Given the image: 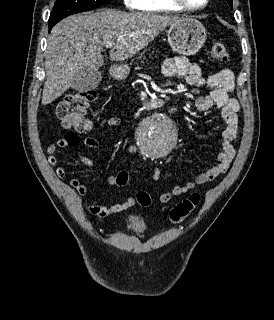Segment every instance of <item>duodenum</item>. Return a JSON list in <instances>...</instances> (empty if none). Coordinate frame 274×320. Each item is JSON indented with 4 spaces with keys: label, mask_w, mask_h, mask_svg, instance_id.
I'll return each mask as SVG.
<instances>
[{
    "label": "duodenum",
    "mask_w": 274,
    "mask_h": 320,
    "mask_svg": "<svg viewBox=\"0 0 274 320\" xmlns=\"http://www.w3.org/2000/svg\"><path fill=\"white\" fill-rule=\"evenodd\" d=\"M164 102H165L164 99L157 98V99H154L153 101L147 102L146 106L149 108L158 107V106L164 104Z\"/></svg>",
    "instance_id": "duodenum-1"
}]
</instances>
